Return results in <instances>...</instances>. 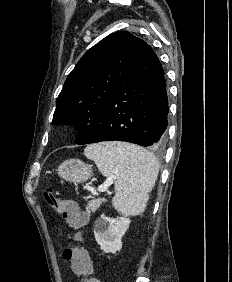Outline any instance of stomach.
Here are the masks:
<instances>
[{"instance_id": "0dacf381", "label": "stomach", "mask_w": 232, "mask_h": 282, "mask_svg": "<svg viewBox=\"0 0 232 282\" xmlns=\"http://www.w3.org/2000/svg\"><path fill=\"white\" fill-rule=\"evenodd\" d=\"M58 175L74 184L86 182L93 175L90 165L79 159H69L58 166Z\"/></svg>"}]
</instances>
